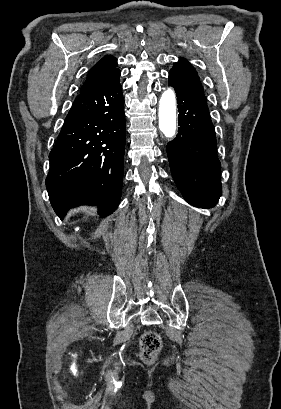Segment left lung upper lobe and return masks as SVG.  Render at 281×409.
I'll list each match as a JSON object with an SVG mask.
<instances>
[{
  "mask_svg": "<svg viewBox=\"0 0 281 409\" xmlns=\"http://www.w3.org/2000/svg\"><path fill=\"white\" fill-rule=\"evenodd\" d=\"M174 71L179 72L180 74L186 76L188 79H190L191 81H193L195 84H197L200 88L203 89L199 77L196 73V71L194 70V68L184 59H180L179 62L174 64V67L171 69Z\"/></svg>",
  "mask_w": 281,
  "mask_h": 409,
  "instance_id": "5c2ea615",
  "label": "left lung upper lobe"
}]
</instances>
